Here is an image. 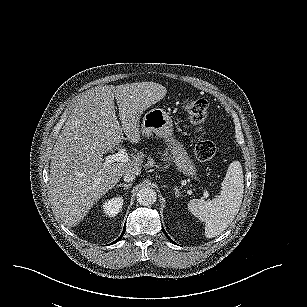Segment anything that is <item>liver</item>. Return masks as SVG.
Returning a JSON list of instances; mask_svg holds the SVG:
<instances>
[{
	"label": "liver",
	"instance_id": "1",
	"mask_svg": "<svg viewBox=\"0 0 307 307\" xmlns=\"http://www.w3.org/2000/svg\"><path fill=\"white\" fill-rule=\"evenodd\" d=\"M166 93L161 84L134 82L96 86L79 96L55 142L48 178L52 211L65 225H78L125 172L141 174L142 152L128 162L109 165L102 156L123 140L139 143L140 116Z\"/></svg>",
	"mask_w": 307,
	"mask_h": 307
}]
</instances>
